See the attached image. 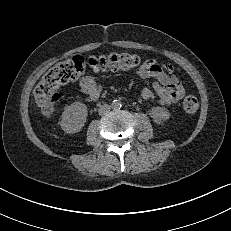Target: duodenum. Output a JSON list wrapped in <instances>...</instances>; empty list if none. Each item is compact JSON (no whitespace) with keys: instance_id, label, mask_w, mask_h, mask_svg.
Returning <instances> with one entry per match:
<instances>
[{"instance_id":"duodenum-1","label":"duodenum","mask_w":231,"mask_h":231,"mask_svg":"<svg viewBox=\"0 0 231 231\" xmlns=\"http://www.w3.org/2000/svg\"><path fill=\"white\" fill-rule=\"evenodd\" d=\"M96 98H94V97H90V100L92 101V100H95Z\"/></svg>"}]
</instances>
